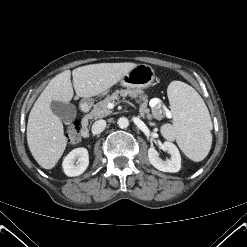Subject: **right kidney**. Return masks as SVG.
<instances>
[{
  "mask_svg": "<svg viewBox=\"0 0 247 247\" xmlns=\"http://www.w3.org/2000/svg\"><path fill=\"white\" fill-rule=\"evenodd\" d=\"M89 165V154L86 148H76L69 152L63 160L64 173L69 176L81 175Z\"/></svg>",
  "mask_w": 247,
  "mask_h": 247,
  "instance_id": "ca27d5eb",
  "label": "right kidney"
}]
</instances>
